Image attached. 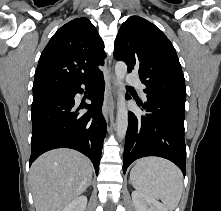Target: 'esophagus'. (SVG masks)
Segmentation results:
<instances>
[{
  "mask_svg": "<svg viewBox=\"0 0 221 211\" xmlns=\"http://www.w3.org/2000/svg\"><path fill=\"white\" fill-rule=\"evenodd\" d=\"M108 75L110 79V89L109 90L106 89L104 95V103H103V115L106 120L113 111L115 96H116V88H117L116 79L111 70V66H109Z\"/></svg>",
  "mask_w": 221,
  "mask_h": 211,
  "instance_id": "esophagus-1",
  "label": "esophagus"
}]
</instances>
